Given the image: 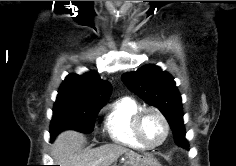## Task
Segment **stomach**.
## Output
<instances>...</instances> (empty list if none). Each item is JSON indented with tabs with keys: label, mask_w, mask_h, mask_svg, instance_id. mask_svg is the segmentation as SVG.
<instances>
[{
	"label": "stomach",
	"mask_w": 236,
	"mask_h": 166,
	"mask_svg": "<svg viewBox=\"0 0 236 166\" xmlns=\"http://www.w3.org/2000/svg\"><path fill=\"white\" fill-rule=\"evenodd\" d=\"M148 163L144 166H161L160 163L157 162V160L153 159V158H147ZM124 166H131V165H124Z\"/></svg>",
	"instance_id": "1"
}]
</instances>
